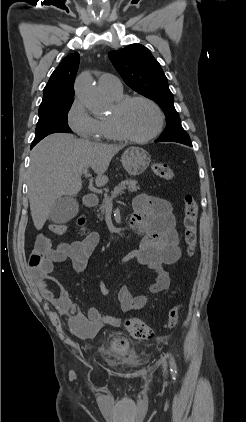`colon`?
Returning a JSON list of instances; mask_svg holds the SVG:
<instances>
[{"mask_svg":"<svg viewBox=\"0 0 246 422\" xmlns=\"http://www.w3.org/2000/svg\"><path fill=\"white\" fill-rule=\"evenodd\" d=\"M154 174L165 180H173L175 173L173 169L165 163H154L152 166ZM197 220H198V205L191 195L184 197V240L186 243V250L189 256H192L197 244ZM49 230L55 235H63L67 231V227L63 224H51ZM52 250L50 239L40 234L38 235L34 249L32 250L29 259L28 267L35 277V279H42L46 276L51 268L49 261V253ZM181 305L173 306L168 313L167 326L174 328L180 318ZM128 332L138 340H148L153 336V331L143 321L131 318L125 322Z\"/></svg>","mask_w":246,"mask_h":422,"instance_id":"1","label":"colon"}]
</instances>
